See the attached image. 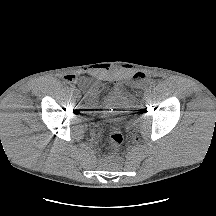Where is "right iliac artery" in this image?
Wrapping results in <instances>:
<instances>
[{"label": "right iliac artery", "instance_id": "1", "mask_svg": "<svg viewBox=\"0 0 216 216\" xmlns=\"http://www.w3.org/2000/svg\"><path fill=\"white\" fill-rule=\"evenodd\" d=\"M69 92H74V87H69Z\"/></svg>", "mask_w": 216, "mask_h": 216}]
</instances>
